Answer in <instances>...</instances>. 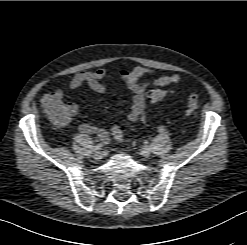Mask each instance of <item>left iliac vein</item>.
Returning a JSON list of instances; mask_svg holds the SVG:
<instances>
[{
    "instance_id": "4c4485c4",
    "label": "left iliac vein",
    "mask_w": 247,
    "mask_h": 245,
    "mask_svg": "<svg viewBox=\"0 0 247 245\" xmlns=\"http://www.w3.org/2000/svg\"><path fill=\"white\" fill-rule=\"evenodd\" d=\"M140 154L143 157L148 158L151 155V149L149 147L144 146L140 149Z\"/></svg>"
}]
</instances>
